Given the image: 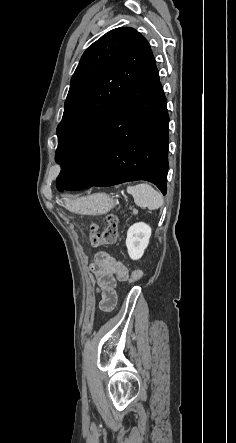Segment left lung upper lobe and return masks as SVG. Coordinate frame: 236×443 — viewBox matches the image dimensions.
<instances>
[{
  "instance_id": "1",
  "label": "left lung upper lobe",
  "mask_w": 236,
  "mask_h": 443,
  "mask_svg": "<svg viewBox=\"0 0 236 443\" xmlns=\"http://www.w3.org/2000/svg\"><path fill=\"white\" fill-rule=\"evenodd\" d=\"M151 56L147 40L130 27L107 32L84 52L71 78L63 118L57 127L55 159L61 167Z\"/></svg>"
}]
</instances>
